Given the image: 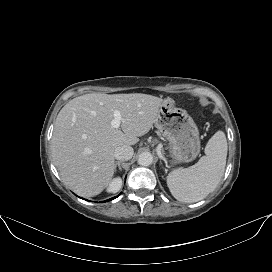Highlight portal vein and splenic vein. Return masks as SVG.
Wrapping results in <instances>:
<instances>
[{
	"mask_svg": "<svg viewBox=\"0 0 272 272\" xmlns=\"http://www.w3.org/2000/svg\"><path fill=\"white\" fill-rule=\"evenodd\" d=\"M113 115H114V118L111 122V125L113 128L118 129L123 118H122L121 113L119 111H114Z\"/></svg>",
	"mask_w": 272,
	"mask_h": 272,
	"instance_id": "obj_1",
	"label": "portal vein and splenic vein"
}]
</instances>
